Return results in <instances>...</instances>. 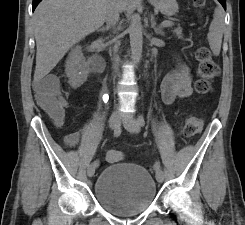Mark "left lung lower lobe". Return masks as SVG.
Listing matches in <instances>:
<instances>
[{"instance_id": "1", "label": "left lung lower lobe", "mask_w": 245, "mask_h": 225, "mask_svg": "<svg viewBox=\"0 0 245 225\" xmlns=\"http://www.w3.org/2000/svg\"><path fill=\"white\" fill-rule=\"evenodd\" d=\"M222 6L224 7V9H226V1L225 0H218Z\"/></svg>"}]
</instances>
